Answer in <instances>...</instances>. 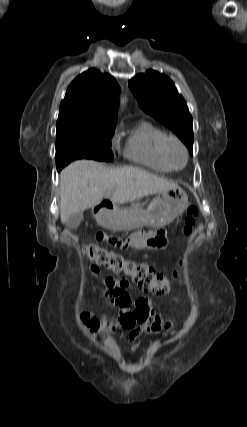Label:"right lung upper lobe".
Masks as SVG:
<instances>
[{"label":"right lung upper lobe","instance_id":"obj_1","mask_svg":"<svg viewBox=\"0 0 247 427\" xmlns=\"http://www.w3.org/2000/svg\"><path fill=\"white\" fill-rule=\"evenodd\" d=\"M120 87L109 74L89 69L69 85L59 115L73 114L98 123H117Z\"/></svg>","mask_w":247,"mask_h":427}]
</instances>
